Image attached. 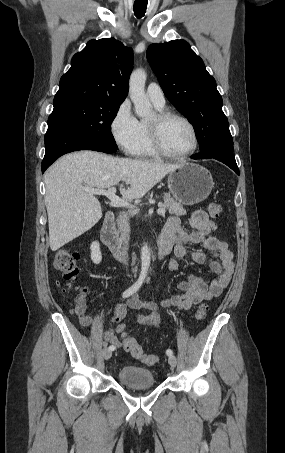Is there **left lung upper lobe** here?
I'll return each mask as SVG.
<instances>
[{"label":"left lung upper lobe","instance_id":"obj_1","mask_svg":"<svg viewBox=\"0 0 285 453\" xmlns=\"http://www.w3.org/2000/svg\"><path fill=\"white\" fill-rule=\"evenodd\" d=\"M147 59L167 99L190 121L201 151L233 147L222 97L202 59L184 40L151 44Z\"/></svg>","mask_w":285,"mask_h":453}]
</instances>
